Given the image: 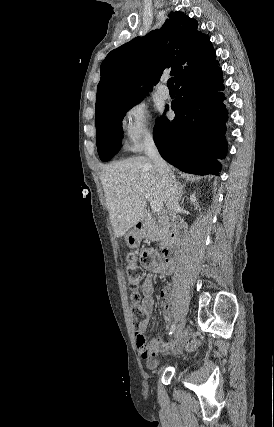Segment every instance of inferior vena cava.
<instances>
[{"label": "inferior vena cava", "mask_w": 274, "mask_h": 427, "mask_svg": "<svg viewBox=\"0 0 274 427\" xmlns=\"http://www.w3.org/2000/svg\"><path fill=\"white\" fill-rule=\"evenodd\" d=\"M145 154L148 158H151L153 164L158 166L160 172H169V166H167L166 162L162 160L152 138H149L147 142V146L145 148ZM168 212L172 219H175L176 214L178 212L179 204H178V192H174L171 190L167 196V204Z\"/></svg>", "instance_id": "obj_1"}]
</instances>
